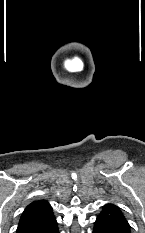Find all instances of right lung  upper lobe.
Returning <instances> with one entry per match:
<instances>
[{
    "instance_id": "1",
    "label": "right lung upper lobe",
    "mask_w": 145,
    "mask_h": 233,
    "mask_svg": "<svg viewBox=\"0 0 145 233\" xmlns=\"http://www.w3.org/2000/svg\"><path fill=\"white\" fill-rule=\"evenodd\" d=\"M55 218L52 207L46 200H36L23 211L17 233H32Z\"/></svg>"
}]
</instances>
